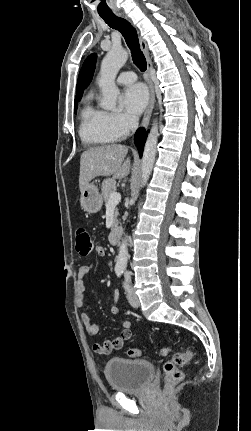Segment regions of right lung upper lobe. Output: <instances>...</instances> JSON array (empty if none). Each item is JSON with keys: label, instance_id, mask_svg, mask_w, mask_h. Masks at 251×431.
<instances>
[{"label": "right lung upper lobe", "instance_id": "obj_1", "mask_svg": "<svg viewBox=\"0 0 251 431\" xmlns=\"http://www.w3.org/2000/svg\"><path fill=\"white\" fill-rule=\"evenodd\" d=\"M96 59L97 55L93 53L84 61L77 81L75 100L81 99L84 89L91 82L96 66Z\"/></svg>", "mask_w": 251, "mask_h": 431}]
</instances>
